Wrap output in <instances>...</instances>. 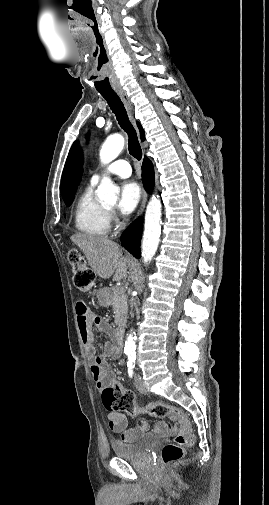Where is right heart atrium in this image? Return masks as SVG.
I'll return each instance as SVG.
<instances>
[{
    "label": "right heart atrium",
    "instance_id": "obj_1",
    "mask_svg": "<svg viewBox=\"0 0 269 505\" xmlns=\"http://www.w3.org/2000/svg\"><path fill=\"white\" fill-rule=\"evenodd\" d=\"M109 218H110V221L114 220V214L111 211L109 212Z\"/></svg>",
    "mask_w": 269,
    "mask_h": 505
}]
</instances>
